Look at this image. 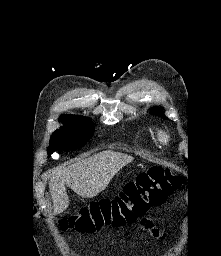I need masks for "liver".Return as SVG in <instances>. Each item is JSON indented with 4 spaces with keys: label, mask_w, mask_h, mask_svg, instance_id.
Here are the masks:
<instances>
[{
    "label": "liver",
    "mask_w": 221,
    "mask_h": 256,
    "mask_svg": "<svg viewBox=\"0 0 221 256\" xmlns=\"http://www.w3.org/2000/svg\"><path fill=\"white\" fill-rule=\"evenodd\" d=\"M133 161V157L114 151H103L86 159L52 171L49 190L54 214L69 206L66 187L83 198H93L102 192L118 171Z\"/></svg>",
    "instance_id": "1"
}]
</instances>
